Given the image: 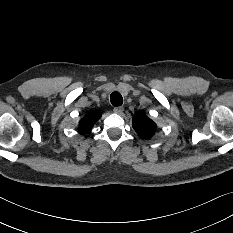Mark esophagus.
<instances>
[{"mask_svg": "<svg viewBox=\"0 0 233 233\" xmlns=\"http://www.w3.org/2000/svg\"><path fill=\"white\" fill-rule=\"evenodd\" d=\"M113 111H114L116 114H121V113L124 112V108H123V107L117 106V107H115V108L113 109Z\"/></svg>", "mask_w": 233, "mask_h": 233, "instance_id": "34e87169", "label": "esophagus"}]
</instances>
